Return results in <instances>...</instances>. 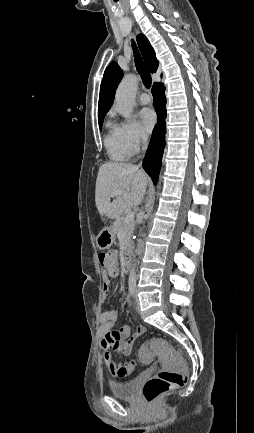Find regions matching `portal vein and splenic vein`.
Wrapping results in <instances>:
<instances>
[{"mask_svg":"<svg viewBox=\"0 0 254 433\" xmlns=\"http://www.w3.org/2000/svg\"><path fill=\"white\" fill-rule=\"evenodd\" d=\"M123 194V192H121V191H116V192H113L112 194H111V196L112 197H115V196H117V195H122ZM134 212H129L127 215H126V217H125V221L126 222H130V221H132V220H134Z\"/></svg>","mask_w":254,"mask_h":433,"instance_id":"18ae733b","label":"portal vein and splenic vein"}]
</instances>
